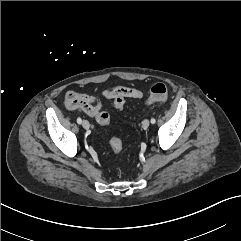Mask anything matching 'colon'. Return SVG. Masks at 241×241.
<instances>
[{
  "mask_svg": "<svg viewBox=\"0 0 241 241\" xmlns=\"http://www.w3.org/2000/svg\"><path fill=\"white\" fill-rule=\"evenodd\" d=\"M112 93L114 95V99H113L114 107L118 110L123 109L126 103V97L124 96V89L116 88L115 90H113ZM167 98H168L167 86L163 83H157L152 86L147 102L165 101ZM97 122L101 125H108L110 123L109 113L105 111L100 112L97 116ZM110 147L114 153L118 154L123 149V143L119 138L113 137L110 139Z\"/></svg>",
  "mask_w": 241,
  "mask_h": 241,
  "instance_id": "colon-1",
  "label": "colon"
}]
</instances>
